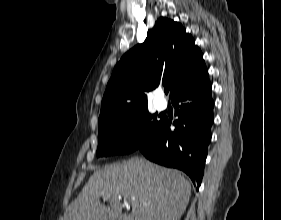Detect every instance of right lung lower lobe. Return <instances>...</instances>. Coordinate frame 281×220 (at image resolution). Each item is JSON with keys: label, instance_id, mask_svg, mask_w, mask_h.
Here are the masks:
<instances>
[{"label": "right lung lower lobe", "instance_id": "1", "mask_svg": "<svg viewBox=\"0 0 281 220\" xmlns=\"http://www.w3.org/2000/svg\"><path fill=\"white\" fill-rule=\"evenodd\" d=\"M172 104L179 116L174 122L175 130L171 131L170 123L162 119L156 132L137 150L153 162L184 171L200 186L213 124L209 79L178 91Z\"/></svg>", "mask_w": 281, "mask_h": 220}]
</instances>
